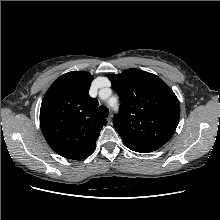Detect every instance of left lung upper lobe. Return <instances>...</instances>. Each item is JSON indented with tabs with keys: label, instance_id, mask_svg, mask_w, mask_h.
<instances>
[{
	"label": "left lung upper lobe",
	"instance_id": "5c2ea615",
	"mask_svg": "<svg viewBox=\"0 0 220 220\" xmlns=\"http://www.w3.org/2000/svg\"><path fill=\"white\" fill-rule=\"evenodd\" d=\"M121 101V113L113 125L131 150L148 153L167 143L180 117V105L174 92L156 75L128 69L108 74Z\"/></svg>",
	"mask_w": 220,
	"mask_h": 220
}]
</instances>
